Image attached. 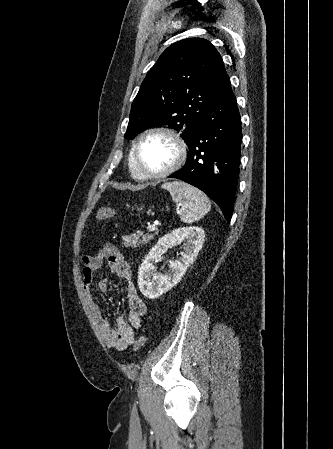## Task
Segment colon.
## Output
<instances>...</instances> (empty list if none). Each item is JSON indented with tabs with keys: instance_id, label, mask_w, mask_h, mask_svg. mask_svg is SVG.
Segmentation results:
<instances>
[{
	"instance_id": "1",
	"label": "colon",
	"mask_w": 333,
	"mask_h": 449,
	"mask_svg": "<svg viewBox=\"0 0 333 449\" xmlns=\"http://www.w3.org/2000/svg\"><path fill=\"white\" fill-rule=\"evenodd\" d=\"M115 211L111 207H101L96 213V218L100 221L108 220L112 217H114ZM147 341L146 335H141L135 342H134V351H140L141 348L145 345Z\"/></svg>"
}]
</instances>
